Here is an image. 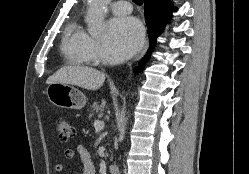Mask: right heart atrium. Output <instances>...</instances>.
I'll use <instances>...</instances> for the list:
<instances>
[{
	"mask_svg": "<svg viewBox=\"0 0 249 174\" xmlns=\"http://www.w3.org/2000/svg\"><path fill=\"white\" fill-rule=\"evenodd\" d=\"M86 49L91 60H98L100 56V46L95 39L91 37L88 38Z\"/></svg>",
	"mask_w": 249,
	"mask_h": 174,
	"instance_id": "1",
	"label": "right heart atrium"
}]
</instances>
